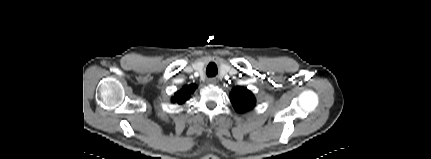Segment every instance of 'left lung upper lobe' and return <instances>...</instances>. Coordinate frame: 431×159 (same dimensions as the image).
Masks as SVG:
<instances>
[{"label": "left lung upper lobe", "mask_w": 431, "mask_h": 159, "mask_svg": "<svg viewBox=\"0 0 431 159\" xmlns=\"http://www.w3.org/2000/svg\"><path fill=\"white\" fill-rule=\"evenodd\" d=\"M230 100L239 112H244L254 107L255 98L246 88L236 87L232 90Z\"/></svg>", "instance_id": "1"}]
</instances>
